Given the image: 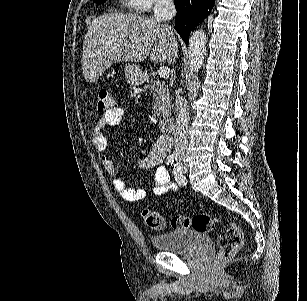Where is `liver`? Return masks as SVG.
<instances>
[{
    "instance_id": "1",
    "label": "liver",
    "mask_w": 307,
    "mask_h": 301,
    "mask_svg": "<svg viewBox=\"0 0 307 301\" xmlns=\"http://www.w3.org/2000/svg\"><path fill=\"white\" fill-rule=\"evenodd\" d=\"M172 32L153 16L109 12L93 18L83 42L85 80L96 82L113 62H142L149 54L153 62L174 64L178 44Z\"/></svg>"
}]
</instances>
